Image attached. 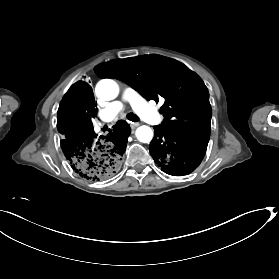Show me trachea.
<instances>
[{
  "label": "trachea",
  "instance_id": "1",
  "mask_svg": "<svg viewBox=\"0 0 279 279\" xmlns=\"http://www.w3.org/2000/svg\"><path fill=\"white\" fill-rule=\"evenodd\" d=\"M127 119L133 122H137L139 120L138 116L132 112L127 114Z\"/></svg>",
  "mask_w": 279,
  "mask_h": 279
}]
</instances>
